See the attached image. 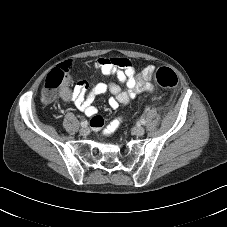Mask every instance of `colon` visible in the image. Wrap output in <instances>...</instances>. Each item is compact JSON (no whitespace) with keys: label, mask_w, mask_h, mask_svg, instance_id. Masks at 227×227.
Masks as SVG:
<instances>
[{"label":"colon","mask_w":227,"mask_h":227,"mask_svg":"<svg viewBox=\"0 0 227 227\" xmlns=\"http://www.w3.org/2000/svg\"><path fill=\"white\" fill-rule=\"evenodd\" d=\"M71 78V67L70 66H57L48 74L43 90L42 98L46 102H51L56 95L57 89L62 83H66ZM155 82L164 88H174L178 83L177 74L168 67H162L156 70L154 73ZM100 117L96 116L91 120V125L95 128H99L102 125ZM120 122L116 121L113 127L115 131Z\"/></svg>","instance_id":"5ec220e1"}]
</instances>
